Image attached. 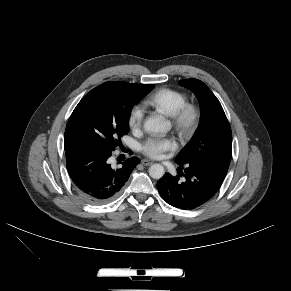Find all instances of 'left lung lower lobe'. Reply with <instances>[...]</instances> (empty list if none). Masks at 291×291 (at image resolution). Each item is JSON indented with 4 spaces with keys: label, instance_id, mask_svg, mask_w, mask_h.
<instances>
[{
    "label": "left lung lower lobe",
    "instance_id": "0a47b994",
    "mask_svg": "<svg viewBox=\"0 0 291 291\" xmlns=\"http://www.w3.org/2000/svg\"><path fill=\"white\" fill-rule=\"evenodd\" d=\"M183 169V167H179ZM228 168L202 161L185 165L184 179L166 173L157 183L163 200L180 209H194L210 200L221 187Z\"/></svg>",
    "mask_w": 291,
    "mask_h": 291
}]
</instances>
